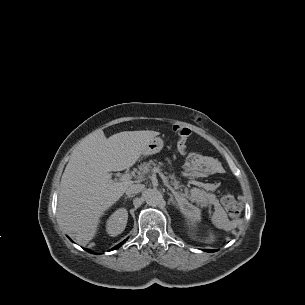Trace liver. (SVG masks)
I'll return each mask as SVG.
<instances>
[{"mask_svg":"<svg viewBox=\"0 0 305 305\" xmlns=\"http://www.w3.org/2000/svg\"><path fill=\"white\" fill-rule=\"evenodd\" d=\"M156 131H124L106 138L103 131L86 136L73 151L60 182L59 223L81 245L91 241L100 217L133 181L117 182L109 172L132 167Z\"/></svg>","mask_w":305,"mask_h":305,"instance_id":"liver-1","label":"liver"}]
</instances>
